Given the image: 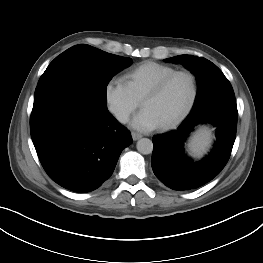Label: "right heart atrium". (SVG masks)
<instances>
[{"instance_id": "d8ad5b80", "label": "right heart atrium", "mask_w": 263, "mask_h": 263, "mask_svg": "<svg viewBox=\"0 0 263 263\" xmlns=\"http://www.w3.org/2000/svg\"><path fill=\"white\" fill-rule=\"evenodd\" d=\"M103 94L108 111L120 123H125L139 106V101L120 78H110L104 86Z\"/></svg>"}]
</instances>
